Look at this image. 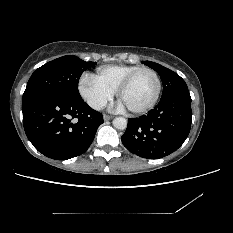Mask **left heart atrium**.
Segmentation results:
<instances>
[{
    "mask_svg": "<svg viewBox=\"0 0 233 233\" xmlns=\"http://www.w3.org/2000/svg\"><path fill=\"white\" fill-rule=\"evenodd\" d=\"M123 104H122V102L120 101L118 104H117V107L119 108V109H122L123 108Z\"/></svg>",
    "mask_w": 233,
    "mask_h": 233,
    "instance_id": "obj_1",
    "label": "left heart atrium"
}]
</instances>
